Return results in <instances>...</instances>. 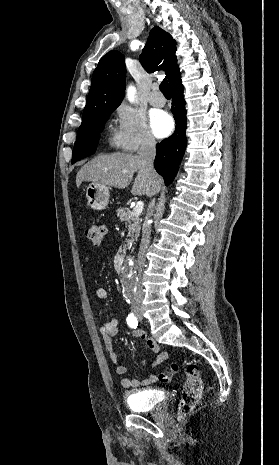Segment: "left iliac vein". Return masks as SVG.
<instances>
[{
  "mask_svg": "<svg viewBox=\"0 0 279 465\" xmlns=\"http://www.w3.org/2000/svg\"><path fill=\"white\" fill-rule=\"evenodd\" d=\"M138 319H139V320H142V315H139V316H138Z\"/></svg>",
  "mask_w": 279,
  "mask_h": 465,
  "instance_id": "4c4485c4",
  "label": "left iliac vein"
}]
</instances>
